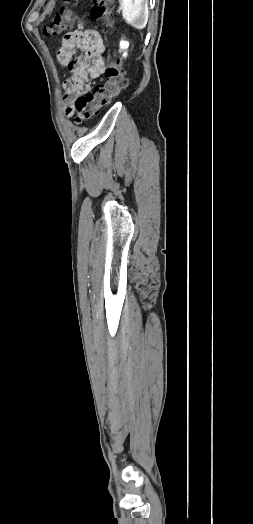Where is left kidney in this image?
I'll return each mask as SVG.
<instances>
[{
  "label": "left kidney",
  "instance_id": "obj_1",
  "mask_svg": "<svg viewBox=\"0 0 253 524\" xmlns=\"http://www.w3.org/2000/svg\"><path fill=\"white\" fill-rule=\"evenodd\" d=\"M129 47V43L127 41H121L120 42V49L124 50V49H127ZM127 55V53L125 52L123 54V56L125 57Z\"/></svg>",
  "mask_w": 253,
  "mask_h": 524
}]
</instances>
